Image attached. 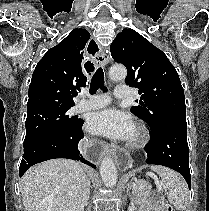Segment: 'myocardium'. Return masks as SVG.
<instances>
[{
	"instance_id": "myocardium-1",
	"label": "myocardium",
	"mask_w": 209,
	"mask_h": 211,
	"mask_svg": "<svg viewBox=\"0 0 209 211\" xmlns=\"http://www.w3.org/2000/svg\"><path fill=\"white\" fill-rule=\"evenodd\" d=\"M149 140V133L144 125H138L135 129L133 137L130 139L128 146L132 149L144 147Z\"/></svg>"
}]
</instances>
